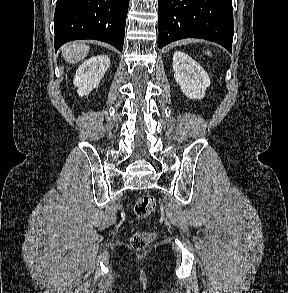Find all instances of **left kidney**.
I'll use <instances>...</instances> for the list:
<instances>
[{
    "instance_id": "obj_1",
    "label": "left kidney",
    "mask_w": 288,
    "mask_h": 293,
    "mask_svg": "<svg viewBox=\"0 0 288 293\" xmlns=\"http://www.w3.org/2000/svg\"><path fill=\"white\" fill-rule=\"evenodd\" d=\"M173 70L175 81L188 98L202 99L205 96L210 79L206 71L191 57L183 52H175Z\"/></svg>"
}]
</instances>
